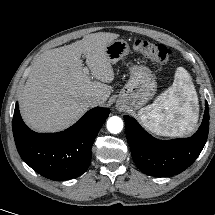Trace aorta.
I'll list each match as a JSON object with an SVG mask.
<instances>
[{
    "instance_id": "aorta-1",
    "label": "aorta",
    "mask_w": 215,
    "mask_h": 215,
    "mask_svg": "<svg viewBox=\"0 0 215 215\" xmlns=\"http://www.w3.org/2000/svg\"><path fill=\"white\" fill-rule=\"evenodd\" d=\"M107 129L110 133L117 134L123 129V121L120 117L113 116L107 121Z\"/></svg>"
}]
</instances>
